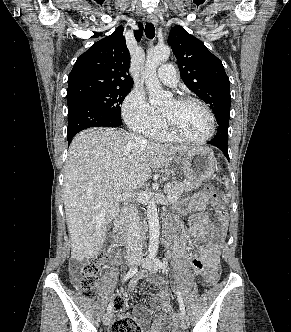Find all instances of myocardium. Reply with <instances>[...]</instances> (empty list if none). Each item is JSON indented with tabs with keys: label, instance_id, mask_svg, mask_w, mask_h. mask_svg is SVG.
I'll list each match as a JSON object with an SVG mask.
<instances>
[{
	"label": "myocardium",
	"instance_id": "1",
	"mask_svg": "<svg viewBox=\"0 0 291 332\" xmlns=\"http://www.w3.org/2000/svg\"><path fill=\"white\" fill-rule=\"evenodd\" d=\"M177 103H186V102H193L198 104L199 106H201L203 108V110L206 112L208 118H209V131L208 133L200 138H194V137H190L187 136L183 133H181L171 122V120L164 114L161 112L162 114V119H163V123H164V128L166 129V131L173 136L174 138H176L177 140L180 141H185V142H190V143H204L208 140H210L216 130V120H215V116L213 111L211 110V108L201 99L193 97V96H188V95H183V96H178L174 99Z\"/></svg>",
	"mask_w": 291,
	"mask_h": 332
}]
</instances>
